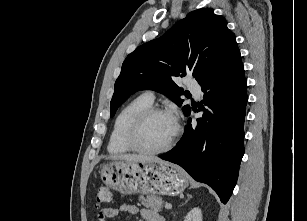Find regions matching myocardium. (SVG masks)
I'll use <instances>...</instances> for the list:
<instances>
[{
    "instance_id": "myocardium-1",
    "label": "myocardium",
    "mask_w": 307,
    "mask_h": 221,
    "mask_svg": "<svg viewBox=\"0 0 307 221\" xmlns=\"http://www.w3.org/2000/svg\"><path fill=\"white\" fill-rule=\"evenodd\" d=\"M156 114L172 115L170 111L165 108L150 106L139 112L131 121L126 133V143L131 150L141 154L156 155L164 153L173 147L180 133V127L178 124L176 125V129L172 137L168 140L166 144H164L159 148L155 149L146 148L143 145H141V143L139 142V135L144 123L147 121L148 118Z\"/></svg>"
}]
</instances>
